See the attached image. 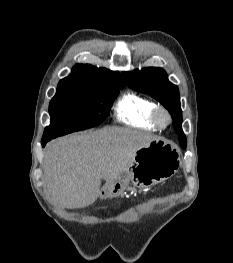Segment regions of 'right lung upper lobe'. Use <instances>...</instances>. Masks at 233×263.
<instances>
[{"mask_svg": "<svg viewBox=\"0 0 233 263\" xmlns=\"http://www.w3.org/2000/svg\"><path fill=\"white\" fill-rule=\"evenodd\" d=\"M118 87H124L119 72L90 64H77L70 76L60 80L55 96L94 94Z\"/></svg>", "mask_w": 233, "mask_h": 263, "instance_id": "cb5924a9", "label": "right lung upper lobe"}]
</instances>
